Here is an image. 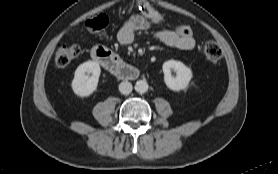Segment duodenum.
Masks as SVG:
<instances>
[{
    "mask_svg": "<svg viewBox=\"0 0 278 174\" xmlns=\"http://www.w3.org/2000/svg\"><path fill=\"white\" fill-rule=\"evenodd\" d=\"M91 56L106 70L119 78L134 79L139 75V71L134 66L126 63L118 54L107 48L96 46L92 49Z\"/></svg>",
    "mask_w": 278,
    "mask_h": 174,
    "instance_id": "1",
    "label": "duodenum"
}]
</instances>
